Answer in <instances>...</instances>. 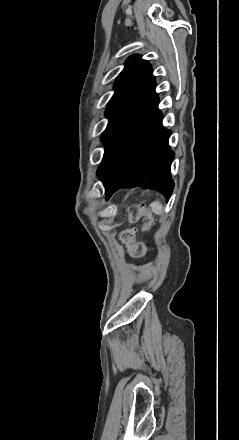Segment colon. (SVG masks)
I'll return each mask as SVG.
<instances>
[{"instance_id": "colon-1", "label": "colon", "mask_w": 239, "mask_h": 440, "mask_svg": "<svg viewBox=\"0 0 239 440\" xmlns=\"http://www.w3.org/2000/svg\"><path fill=\"white\" fill-rule=\"evenodd\" d=\"M129 219L132 222H137L138 220H143V225L141 226V230L146 232L151 223L152 217L151 215L140 205L131 206L129 209ZM136 231V228L125 230L120 234V237L123 241H130ZM148 251V247L145 243L139 242L134 244L131 248V253L133 256H143Z\"/></svg>"}]
</instances>
